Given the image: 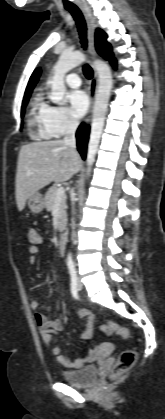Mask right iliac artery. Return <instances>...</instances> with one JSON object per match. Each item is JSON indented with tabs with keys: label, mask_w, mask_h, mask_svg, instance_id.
I'll return each instance as SVG.
<instances>
[{
	"label": "right iliac artery",
	"mask_w": 165,
	"mask_h": 419,
	"mask_svg": "<svg viewBox=\"0 0 165 419\" xmlns=\"http://www.w3.org/2000/svg\"><path fill=\"white\" fill-rule=\"evenodd\" d=\"M68 269L70 272V276H71V293L72 296L75 299H78V285H77V275H76V270L74 268V265L70 264L68 265Z\"/></svg>",
	"instance_id": "1"
}]
</instances>
